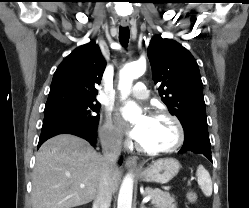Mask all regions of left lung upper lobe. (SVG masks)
I'll return each mask as SVG.
<instances>
[{"label": "left lung upper lobe", "instance_id": "1", "mask_svg": "<svg viewBox=\"0 0 249 208\" xmlns=\"http://www.w3.org/2000/svg\"><path fill=\"white\" fill-rule=\"evenodd\" d=\"M159 94L171 114L177 116L184 132L195 127L208 129L203 84L198 64L178 42L157 35L147 50Z\"/></svg>", "mask_w": 249, "mask_h": 208}]
</instances>
